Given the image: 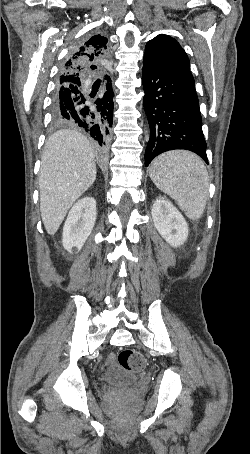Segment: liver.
Wrapping results in <instances>:
<instances>
[{
    "instance_id": "6515ba94",
    "label": "liver",
    "mask_w": 250,
    "mask_h": 454,
    "mask_svg": "<svg viewBox=\"0 0 250 454\" xmlns=\"http://www.w3.org/2000/svg\"><path fill=\"white\" fill-rule=\"evenodd\" d=\"M95 152L81 133L63 129L47 140L39 172L40 211L54 235L74 202L96 179Z\"/></svg>"
}]
</instances>
